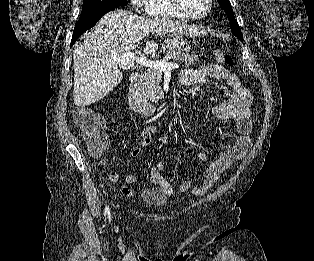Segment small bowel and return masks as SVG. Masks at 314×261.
I'll use <instances>...</instances> for the list:
<instances>
[{
  "label": "small bowel",
  "mask_w": 314,
  "mask_h": 261,
  "mask_svg": "<svg viewBox=\"0 0 314 261\" xmlns=\"http://www.w3.org/2000/svg\"><path fill=\"white\" fill-rule=\"evenodd\" d=\"M211 80L219 81L227 89L224 99L212 109L214 116L219 120L235 123L240 137L216 158L210 159L205 154H199L198 159L209 161V165L203 172L204 180L202 187L192 188L191 181L186 179L180 186L182 193L192 190L195 195H205L215 185L219 177L229 168L230 164L234 160L242 159L251 146V104L253 98L250 91L241 84L238 76L221 65L213 63L186 70L181 74V82L186 86L202 85ZM103 125L104 120L101 127ZM155 133H157L155 126H147L141 130L140 142L131 152L132 159L140 156L151 144L152 136ZM105 162V159H103L102 164H105ZM164 171L165 164L159 161L150 167L149 176L152 182L160 186L164 194L171 195L173 189L168 180L163 176ZM118 178L117 173H108V179L111 182H116ZM125 181L129 185H133L137 182V178L133 174H127ZM120 190L127 197H134L135 195L134 190L127 185H122Z\"/></svg>",
  "instance_id": "1"
}]
</instances>
